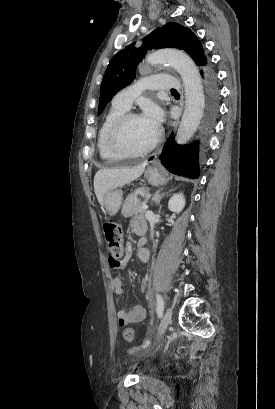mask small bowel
I'll return each mask as SVG.
<instances>
[{
  "label": "small bowel",
  "instance_id": "1",
  "mask_svg": "<svg viewBox=\"0 0 275 409\" xmlns=\"http://www.w3.org/2000/svg\"><path fill=\"white\" fill-rule=\"evenodd\" d=\"M139 222L141 220H144L142 218H135L132 222V226L134 228V225L136 223V221ZM135 229V228H134ZM136 230V229H135ZM145 240H142L140 242L141 245H144ZM143 250V252L141 253L140 250ZM132 256V248L131 246H127L126 250H125V257L123 260L119 261L118 263H115L117 261V258L115 256H109L108 257V262L109 264V269L110 270H115L116 268H125L129 262V259ZM138 256L139 259L141 260L142 263H147L149 261L150 258V253L148 251V249L144 246H142L141 248H139V252H138ZM112 286L114 289V292L117 295H121L123 293V282L120 278H114L112 280ZM146 288V282L144 280L140 281L139 283V289L140 291H144ZM145 317V310L141 305H133L130 307H127L125 309H121L118 312V323L121 326H125L129 323L132 322H139L141 321L143 318Z\"/></svg>",
  "mask_w": 275,
  "mask_h": 409
}]
</instances>
